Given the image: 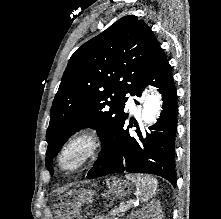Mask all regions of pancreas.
<instances>
[{"instance_id":"obj_1","label":"pancreas","mask_w":221,"mask_h":219,"mask_svg":"<svg viewBox=\"0 0 221 219\" xmlns=\"http://www.w3.org/2000/svg\"><path fill=\"white\" fill-rule=\"evenodd\" d=\"M128 209H129L128 206H120L118 208H115L110 212H108L110 218L106 217V219H118V217L122 216Z\"/></svg>"}]
</instances>
